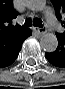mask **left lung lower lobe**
Listing matches in <instances>:
<instances>
[{"label":"left lung lower lobe","instance_id":"0a47b994","mask_svg":"<svg viewBox=\"0 0 65 89\" xmlns=\"http://www.w3.org/2000/svg\"><path fill=\"white\" fill-rule=\"evenodd\" d=\"M58 39V47L52 53H45L47 60L57 66L65 68V34L56 33Z\"/></svg>","mask_w":65,"mask_h":89}]
</instances>
